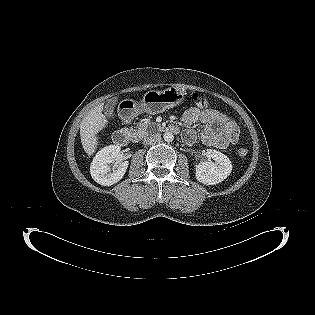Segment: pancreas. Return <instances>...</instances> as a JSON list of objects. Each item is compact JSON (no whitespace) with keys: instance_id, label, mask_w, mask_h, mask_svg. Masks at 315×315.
<instances>
[{"instance_id":"1","label":"pancreas","mask_w":315,"mask_h":315,"mask_svg":"<svg viewBox=\"0 0 315 315\" xmlns=\"http://www.w3.org/2000/svg\"><path fill=\"white\" fill-rule=\"evenodd\" d=\"M156 123L154 122H143L141 124H139L136 129H129L130 132V136L135 139L138 140L139 138H142L144 136H146L148 134V127L150 126H155Z\"/></svg>"}]
</instances>
